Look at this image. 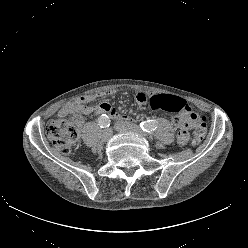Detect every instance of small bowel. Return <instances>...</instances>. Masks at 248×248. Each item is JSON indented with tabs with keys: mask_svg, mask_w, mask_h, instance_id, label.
I'll return each instance as SVG.
<instances>
[{
	"mask_svg": "<svg viewBox=\"0 0 248 248\" xmlns=\"http://www.w3.org/2000/svg\"><path fill=\"white\" fill-rule=\"evenodd\" d=\"M115 93L114 90H108L103 92H98L94 94H87L84 95L76 100H73L63 107H61L58 111L59 117H66L71 113H74L78 109H82V114H89V113H97V114H106L110 118H122L117 112V110L112 107L107 102H100L98 105L92 106H83L84 104L90 103L95 101L96 99L113 95ZM149 94L143 91L136 93L135 101L140 104H146L148 102ZM77 115L75 118V122L78 126L83 124V119L81 115ZM172 122L174 125L178 126L180 129L176 131V138L178 139V143L180 145H185L189 140V131L188 129L192 126V120L185 115H175L172 117Z\"/></svg>",
	"mask_w": 248,
	"mask_h": 248,
	"instance_id": "c3829d8e",
	"label": "small bowel"
}]
</instances>
